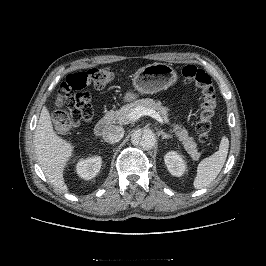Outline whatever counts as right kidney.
Segmentation results:
<instances>
[{
  "label": "right kidney",
  "instance_id": "ca27d5eb",
  "mask_svg": "<svg viewBox=\"0 0 266 266\" xmlns=\"http://www.w3.org/2000/svg\"><path fill=\"white\" fill-rule=\"evenodd\" d=\"M102 158L93 156L86 159H80L76 165V172L79 177L90 180L95 177L101 168Z\"/></svg>",
  "mask_w": 266,
  "mask_h": 266
}]
</instances>
